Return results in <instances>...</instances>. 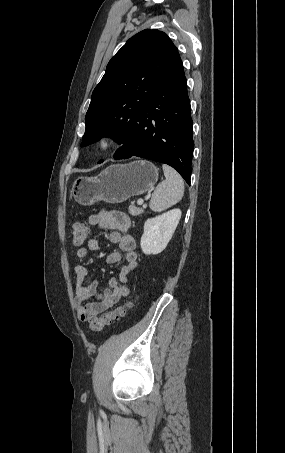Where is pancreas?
<instances>
[{
  "mask_svg": "<svg viewBox=\"0 0 285 453\" xmlns=\"http://www.w3.org/2000/svg\"><path fill=\"white\" fill-rule=\"evenodd\" d=\"M128 212L132 215V216H138L140 214H142L144 212V210L142 208H137L133 205L129 206L128 208Z\"/></svg>",
  "mask_w": 285,
  "mask_h": 453,
  "instance_id": "1",
  "label": "pancreas"
}]
</instances>
